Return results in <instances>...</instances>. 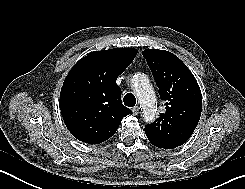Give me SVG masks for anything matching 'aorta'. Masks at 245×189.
<instances>
[{
    "label": "aorta",
    "instance_id": "obj_1",
    "mask_svg": "<svg viewBox=\"0 0 245 189\" xmlns=\"http://www.w3.org/2000/svg\"><path fill=\"white\" fill-rule=\"evenodd\" d=\"M131 86L140 103L144 121L153 122L157 115L156 96L148 77L142 73L133 75Z\"/></svg>",
    "mask_w": 245,
    "mask_h": 189
}]
</instances>
